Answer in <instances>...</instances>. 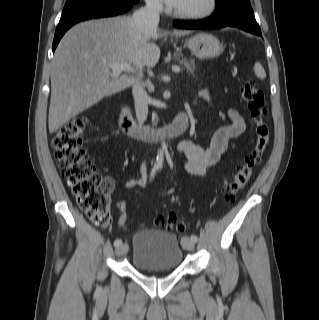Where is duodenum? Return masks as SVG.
Returning <instances> with one entry per match:
<instances>
[{"instance_id": "duodenum-1", "label": "duodenum", "mask_w": 319, "mask_h": 320, "mask_svg": "<svg viewBox=\"0 0 319 320\" xmlns=\"http://www.w3.org/2000/svg\"><path fill=\"white\" fill-rule=\"evenodd\" d=\"M189 115L186 110L177 114L175 119L166 125H137L126 113L120 115V126L126 133L142 141H161L172 139L183 133L188 127Z\"/></svg>"}]
</instances>
